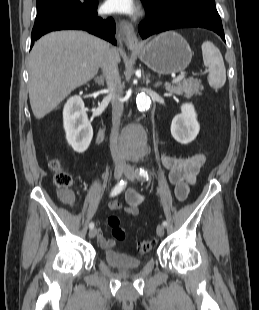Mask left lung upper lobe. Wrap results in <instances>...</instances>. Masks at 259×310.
Here are the masks:
<instances>
[{"instance_id": "left-lung-upper-lobe-1", "label": "left lung upper lobe", "mask_w": 259, "mask_h": 310, "mask_svg": "<svg viewBox=\"0 0 259 310\" xmlns=\"http://www.w3.org/2000/svg\"><path fill=\"white\" fill-rule=\"evenodd\" d=\"M142 2L157 17L192 6L216 7L215 0H142Z\"/></svg>"}]
</instances>
